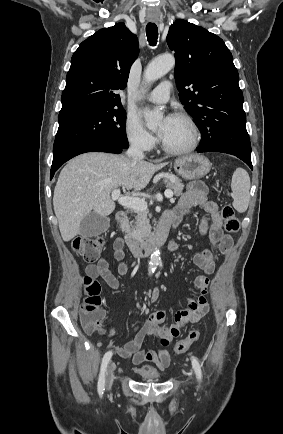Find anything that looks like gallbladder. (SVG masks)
I'll return each instance as SVG.
<instances>
[{"mask_svg":"<svg viewBox=\"0 0 283 434\" xmlns=\"http://www.w3.org/2000/svg\"><path fill=\"white\" fill-rule=\"evenodd\" d=\"M109 226L110 219L108 217H103L95 212H91L81 221L79 234L82 237L98 236L105 232Z\"/></svg>","mask_w":283,"mask_h":434,"instance_id":"gallbladder-1","label":"gallbladder"}]
</instances>
